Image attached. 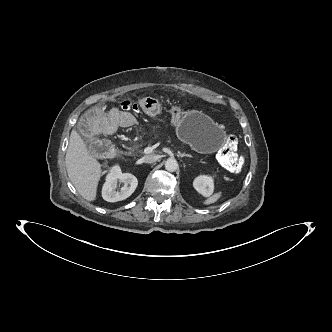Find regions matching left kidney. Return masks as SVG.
Instances as JSON below:
<instances>
[{"mask_svg": "<svg viewBox=\"0 0 332 332\" xmlns=\"http://www.w3.org/2000/svg\"><path fill=\"white\" fill-rule=\"evenodd\" d=\"M194 188L202 195L208 196L213 192V179L209 176H199L193 182Z\"/></svg>", "mask_w": 332, "mask_h": 332, "instance_id": "5707ae66", "label": "left kidney"}]
</instances>
